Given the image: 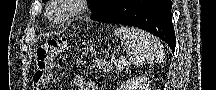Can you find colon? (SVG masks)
I'll return each instance as SVG.
<instances>
[{
  "instance_id": "5ec220e1",
  "label": "colon",
  "mask_w": 216,
  "mask_h": 90,
  "mask_svg": "<svg viewBox=\"0 0 216 90\" xmlns=\"http://www.w3.org/2000/svg\"><path fill=\"white\" fill-rule=\"evenodd\" d=\"M65 45V39H51L37 47L36 68L33 75V86L36 89L43 88L50 82L54 59Z\"/></svg>"
}]
</instances>
